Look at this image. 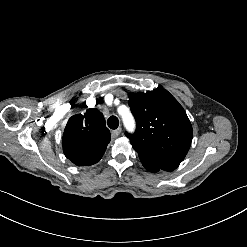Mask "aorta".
I'll list each match as a JSON object with an SVG mask.
<instances>
[{"label":"aorta","instance_id":"aorta-1","mask_svg":"<svg viewBox=\"0 0 247 247\" xmlns=\"http://www.w3.org/2000/svg\"><path fill=\"white\" fill-rule=\"evenodd\" d=\"M122 118L126 129L133 130L135 126V122L130 112L127 111L126 113H124Z\"/></svg>","mask_w":247,"mask_h":247}]
</instances>
